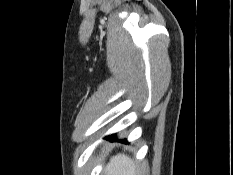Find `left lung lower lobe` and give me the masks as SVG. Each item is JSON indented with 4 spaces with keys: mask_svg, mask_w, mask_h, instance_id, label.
<instances>
[{
    "mask_svg": "<svg viewBox=\"0 0 233 175\" xmlns=\"http://www.w3.org/2000/svg\"><path fill=\"white\" fill-rule=\"evenodd\" d=\"M107 138L110 139V140H115L116 139V134H112L111 136H108Z\"/></svg>",
    "mask_w": 233,
    "mask_h": 175,
    "instance_id": "left-lung-lower-lobe-1",
    "label": "left lung lower lobe"
}]
</instances>
